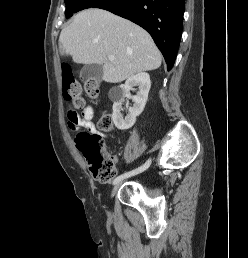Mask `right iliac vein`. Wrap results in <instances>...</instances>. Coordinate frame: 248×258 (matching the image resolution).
<instances>
[{"label":"right iliac vein","instance_id":"obj_1","mask_svg":"<svg viewBox=\"0 0 248 258\" xmlns=\"http://www.w3.org/2000/svg\"><path fill=\"white\" fill-rule=\"evenodd\" d=\"M122 182H118L117 184H115L114 188L112 189V192H111V197H113L117 190L119 189V187L121 186Z\"/></svg>","mask_w":248,"mask_h":258}]
</instances>
